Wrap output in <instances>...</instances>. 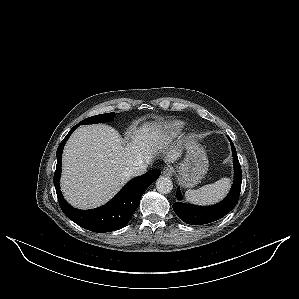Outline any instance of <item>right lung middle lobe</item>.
Returning a JSON list of instances; mask_svg holds the SVG:
<instances>
[{
    "label": "right lung middle lobe",
    "instance_id": "obj_1",
    "mask_svg": "<svg viewBox=\"0 0 299 299\" xmlns=\"http://www.w3.org/2000/svg\"><path fill=\"white\" fill-rule=\"evenodd\" d=\"M114 116H115L114 113L100 114V115L86 118V119L82 120L80 123H78V125L109 122L114 119Z\"/></svg>",
    "mask_w": 299,
    "mask_h": 299
}]
</instances>
